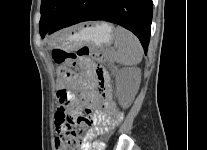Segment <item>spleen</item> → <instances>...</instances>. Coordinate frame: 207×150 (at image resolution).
Instances as JSON below:
<instances>
[{
    "label": "spleen",
    "mask_w": 207,
    "mask_h": 150,
    "mask_svg": "<svg viewBox=\"0 0 207 150\" xmlns=\"http://www.w3.org/2000/svg\"><path fill=\"white\" fill-rule=\"evenodd\" d=\"M114 35L116 61L126 66H134L139 64L142 60L143 49L138 38L120 26L115 29Z\"/></svg>",
    "instance_id": "3e777b00"
}]
</instances>
